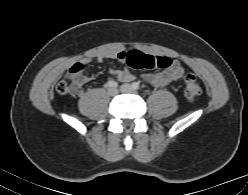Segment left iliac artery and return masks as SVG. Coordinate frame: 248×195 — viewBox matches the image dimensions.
Masks as SVG:
<instances>
[{"instance_id":"1","label":"left iliac artery","mask_w":248,"mask_h":195,"mask_svg":"<svg viewBox=\"0 0 248 195\" xmlns=\"http://www.w3.org/2000/svg\"><path fill=\"white\" fill-rule=\"evenodd\" d=\"M132 87H133L135 90H137V89H139L140 85H139L138 82H134V83H132Z\"/></svg>"}]
</instances>
